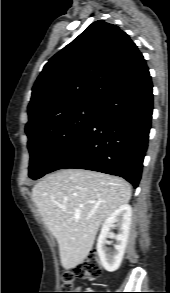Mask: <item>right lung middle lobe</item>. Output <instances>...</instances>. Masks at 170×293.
<instances>
[{
	"label": "right lung middle lobe",
	"mask_w": 170,
	"mask_h": 293,
	"mask_svg": "<svg viewBox=\"0 0 170 293\" xmlns=\"http://www.w3.org/2000/svg\"><path fill=\"white\" fill-rule=\"evenodd\" d=\"M98 107L93 104L78 105L25 130L29 139L30 178L38 179L48 173L54 161L94 121Z\"/></svg>",
	"instance_id": "obj_1"
}]
</instances>
